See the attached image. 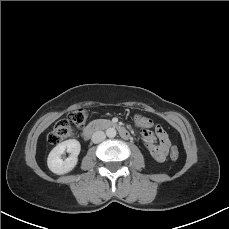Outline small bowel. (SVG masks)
Here are the masks:
<instances>
[{"instance_id": "c3829d8e", "label": "small bowel", "mask_w": 229, "mask_h": 229, "mask_svg": "<svg viewBox=\"0 0 229 229\" xmlns=\"http://www.w3.org/2000/svg\"><path fill=\"white\" fill-rule=\"evenodd\" d=\"M143 128L144 144L151 154L152 158L159 163L166 160L171 143L168 135L159 126H156L154 134L149 128L152 126V121L146 117H141Z\"/></svg>"}]
</instances>
